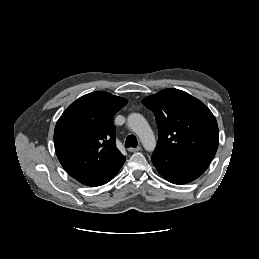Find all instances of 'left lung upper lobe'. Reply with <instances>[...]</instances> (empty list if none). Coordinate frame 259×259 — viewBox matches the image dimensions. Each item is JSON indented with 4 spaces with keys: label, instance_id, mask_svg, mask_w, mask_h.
I'll use <instances>...</instances> for the list:
<instances>
[{
    "label": "left lung upper lobe",
    "instance_id": "1",
    "mask_svg": "<svg viewBox=\"0 0 259 259\" xmlns=\"http://www.w3.org/2000/svg\"><path fill=\"white\" fill-rule=\"evenodd\" d=\"M159 131L156 149L174 156L212 160L218 148V125L209 108L178 89H164L143 99Z\"/></svg>",
    "mask_w": 259,
    "mask_h": 259
}]
</instances>
